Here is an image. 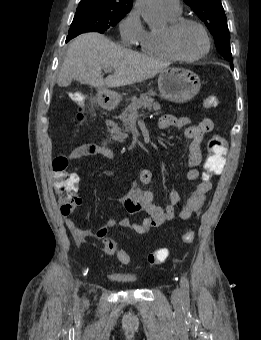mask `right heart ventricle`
Wrapping results in <instances>:
<instances>
[{"mask_svg":"<svg viewBox=\"0 0 261 340\" xmlns=\"http://www.w3.org/2000/svg\"><path fill=\"white\" fill-rule=\"evenodd\" d=\"M165 13L169 22L174 21L180 17V14H170L167 12ZM138 44L142 52L150 57L163 60L175 59L166 47L163 30L145 31L142 37L139 39Z\"/></svg>","mask_w":261,"mask_h":340,"instance_id":"e07e8e85","label":"right heart ventricle"}]
</instances>
